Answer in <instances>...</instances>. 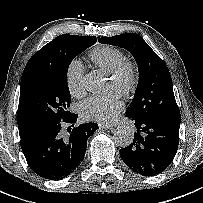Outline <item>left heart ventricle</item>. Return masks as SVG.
<instances>
[{"instance_id": "1", "label": "left heart ventricle", "mask_w": 203, "mask_h": 203, "mask_svg": "<svg viewBox=\"0 0 203 203\" xmlns=\"http://www.w3.org/2000/svg\"><path fill=\"white\" fill-rule=\"evenodd\" d=\"M112 82L114 87H116L117 89L123 90L127 83V76L120 75L118 77H113Z\"/></svg>"}]
</instances>
